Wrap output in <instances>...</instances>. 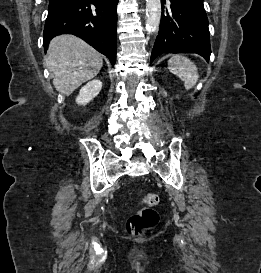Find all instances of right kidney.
Instances as JSON below:
<instances>
[{
  "instance_id": "right-kidney-1",
  "label": "right kidney",
  "mask_w": 261,
  "mask_h": 273,
  "mask_svg": "<svg viewBox=\"0 0 261 273\" xmlns=\"http://www.w3.org/2000/svg\"><path fill=\"white\" fill-rule=\"evenodd\" d=\"M102 89V82L98 79L92 80L84 85L76 98V103L86 105L94 99Z\"/></svg>"
}]
</instances>
